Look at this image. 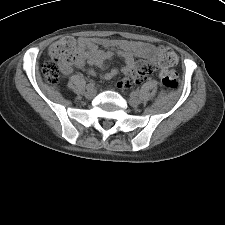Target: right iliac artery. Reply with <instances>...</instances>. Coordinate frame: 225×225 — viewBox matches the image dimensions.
<instances>
[{"mask_svg":"<svg viewBox=\"0 0 225 225\" xmlns=\"http://www.w3.org/2000/svg\"><path fill=\"white\" fill-rule=\"evenodd\" d=\"M93 87H94L93 81H90V82L87 84V86H86L87 89H90V88H93Z\"/></svg>","mask_w":225,"mask_h":225,"instance_id":"obj_1","label":"right iliac artery"}]
</instances>
